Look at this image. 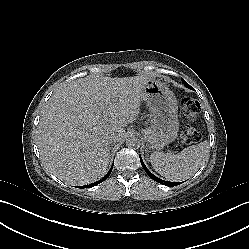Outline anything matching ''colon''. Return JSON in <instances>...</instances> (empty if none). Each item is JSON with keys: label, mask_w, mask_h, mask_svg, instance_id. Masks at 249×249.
Wrapping results in <instances>:
<instances>
[{"label": "colon", "mask_w": 249, "mask_h": 249, "mask_svg": "<svg viewBox=\"0 0 249 249\" xmlns=\"http://www.w3.org/2000/svg\"><path fill=\"white\" fill-rule=\"evenodd\" d=\"M180 106L186 120V127L182 133V137L184 141L188 143L196 142L199 140V133L195 130L192 124H194L197 119L200 105L190 95L182 94L180 97Z\"/></svg>", "instance_id": "colon-1"}]
</instances>
